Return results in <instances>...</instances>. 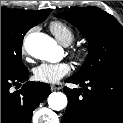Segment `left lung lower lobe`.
<instances>
[{"label":"left lung lower lobe","mask_w":123,"mask_h":123,"mask_svg":"<svg viewBox=\"0 0 123 123\" xmlns=\"http://www.w3.org/2000/svg\"><path fill=\"white\" fill-rule=\"evenodd\" d=\"M67 82L82 88H64L68 105L61 123H123V69L71 76Z\"/></svg>","instance_id":"left-lung-lower-lobe-1"}]
</instances>
